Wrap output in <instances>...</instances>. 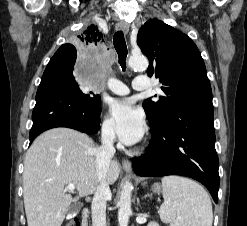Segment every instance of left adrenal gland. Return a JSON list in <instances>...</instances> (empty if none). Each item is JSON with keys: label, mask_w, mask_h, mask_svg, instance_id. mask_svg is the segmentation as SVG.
<instances>
[{"label": "left adrenal gland", "mask_w": 247, "mask_h": 226, "mask_svg": "<svg viewBox=\"0 0 247 226\" xmlns=\"http://www.w3.org/2000/svg\"><path fill=\"white\" fill-rule=\"evenodd\" d=\"M147 197H152V195L151 194H149V193H147L146 195H144V198H147Z\"/></svg>", "instance_id": "obj_1"}]
</instances>
